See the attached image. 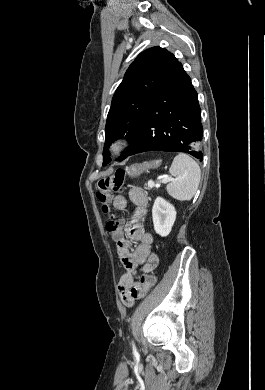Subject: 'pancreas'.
<instances>
[{
    "label": "pancreas",
    "mask_w": 265,
    "mask_h": 390,
    "mask_svg": "<svg viewBox=\"0 0 265 390\" xmlns=\"http://www.w3.org/2000/svg\"><path fill=\"white\" fill-rule=\"evenodd\" d=\"M154 186H151V185H149V184H146V189H148V190H150V189H152Z\"/></svg>",
    "instance_id": "1"
}]
</instances>
